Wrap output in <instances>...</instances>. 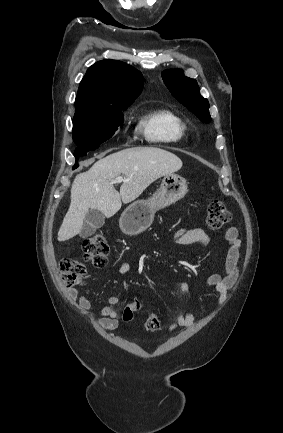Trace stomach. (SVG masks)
<instances>
[{
  "label": "stomach",
  "instance_id": "0dacf381",
  "mask_svg": "<svg viewBox=\"0 0 283 433\" xmlns=\"http://www.w3.org/2000/svg\"><path fill=\"white\" fill-rule=\"evenodd\" d=\"M187 188V182L183 176L173 174V172L164 174L160 188L150 198L135 200L122 212L124 233L138 235L149 221H153L156 210L183 198Z\"/></svg>",
  "mask_w": 283,
  "mask_h": 433
}]
</instances>
